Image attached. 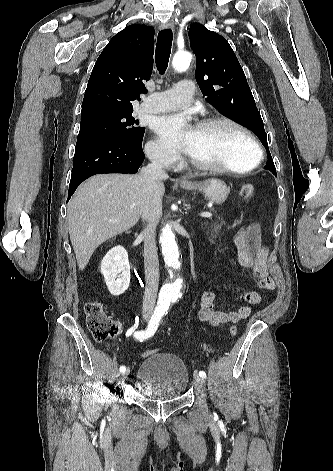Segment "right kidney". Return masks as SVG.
I'll list each match as a JSON object with an SVG mask.
<instances>
[{"instance_id":"right-kidney-1","label":"right kidney","mask_w":333,"mask_h":471,"mask_svg":"<svg viewBox=\"0 0 333 471\" xmlns=\"http://www.w3.org/2000/svg\"><path fill=\"white\" fill-rule=\"evenodd\" d=\"M101 273L111 295L119 296L129 287L130 265L122 246L109 250L101 262Z\"/></svg>"}]
</instances>
